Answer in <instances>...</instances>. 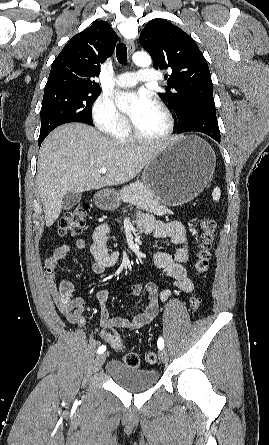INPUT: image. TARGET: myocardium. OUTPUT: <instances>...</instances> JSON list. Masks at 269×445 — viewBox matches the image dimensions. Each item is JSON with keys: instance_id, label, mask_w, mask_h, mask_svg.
<instances>
[{"instance_id": "obj_1", "label": "myocardium", "mask_w": 269, "mask_h": 445, "mask_svg": "<svg viewBox=\"0 0 269 445\" xmlns=\"http://www.w3.org/2000/svg\"><path fill=\"white\" fill-rule=\"evenodd\" d=\"M154 104L160 109L166 119V128L162 134L155 137L143 135L135 126L133 121L130 122V130L135 140L146 144H157L168 140L174 131V118L169 108L161 101L155 100Z\"/></svg>"}]
</instances>
